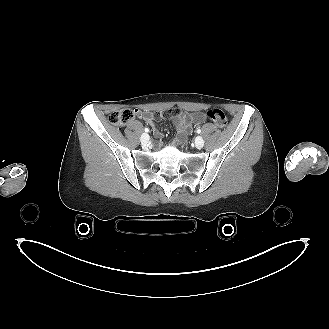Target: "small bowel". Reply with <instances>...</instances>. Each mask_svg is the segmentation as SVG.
I'll return each mask as SVG.
<instances>
[{"instance_id": "c3829d8e", "label": "small bowel", "mask_w": 329, "mask_h": 329, "mask_svg": "<svg viewBox=\"0 0 329 329\" xmlns=\"http://www.w3.org/2000/svg\"><path fill=\"white\" fill-rule=\"evenodd\" d=\"M169 113H174L172 119L177 130V137L175 140V144L177 145H182L185 142L187 136L192 131L194 124L203 121V117L199 114L188 112L179 113V109L176 107L172 108ZM139 116L152 126L156 138L162 137V132L156 124V116L154 114L140 113ZM157 116L163 118L166 116V113L161 111Z\"/></svg>"}]
</instances>
